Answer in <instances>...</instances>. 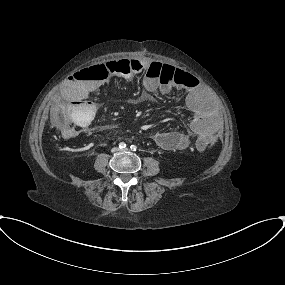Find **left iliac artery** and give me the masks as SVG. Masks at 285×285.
Segmentation results:
<instances>
[{"label": "left iliac artery", "mask_w": 285, "mask_h": 285, "mask_svg": "<svg viewBox=\"0 0 285 285\" xmlns=\"http://www.w3.org/2000/svg\"><path fill=\"white\" fill-rule=\"evenodd\" d=\"M130 149H131L132 151H136V150H137V147H136L135 145H131V146H130Z\"/></svg>", "instance_id": "left-iliac-artery-1"}]
</instances>
